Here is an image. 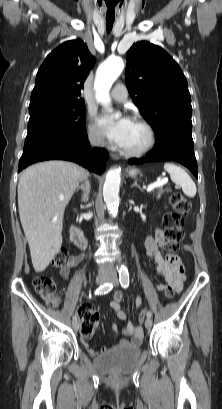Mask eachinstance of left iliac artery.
<instances>
[{
    "instance_id": "left-iliac-artery-1",
    "label": "left iliac artery",
    "mask_w": 222,
    "mask_h": 409,
    "mask_svg": "<svg viewBox=\"0 0 222 409\" xmlns=\"http://www.w3.org/2000/svg\"><path fill=\"white\" fill-rule=\"evenodd\" d=\"M119 277H120V284L123 288H127L129 286V273L127 268L121 267L119 271ZM147 317L151 318L152 317V312L148 311L147 312Z\"/></svg>"
}]
</instances>
